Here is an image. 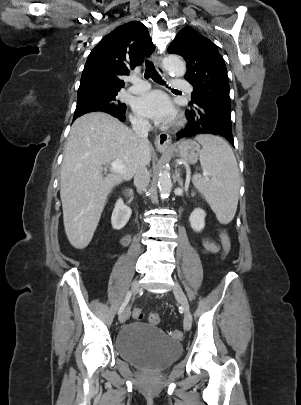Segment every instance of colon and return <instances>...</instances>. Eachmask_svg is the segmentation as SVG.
Segmentation results:
<instances>
[{
	"label": "colon",
	"mask_w": 301,
	"mask_h": 405,
	"mask_svg": "<svg viewBox=\"0 0 301 405\" xmlns=\"http://www.w3.org/2000/svg\"><path fill=\"white\" fill-rule=\"evenodd\" d=\"M219 238L222 244V258H225L231 250V241L228 234L225 231H219ZM133 318L136 320H142L144 318V312L140 308L133 310ZM148 321L153 325H158L161 321V317L158 313L152 312L148 315ZM171 336L174 339L180 340L183 337V333L180 330H173Z\"/></svg>",
	"instance_id": "1"
}]
</instances>
